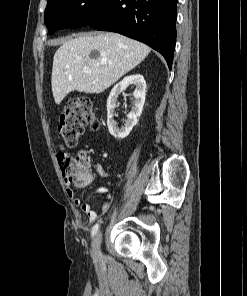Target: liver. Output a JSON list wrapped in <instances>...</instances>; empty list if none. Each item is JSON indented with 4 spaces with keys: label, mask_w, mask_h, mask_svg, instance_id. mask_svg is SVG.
I'll return each mask as SVG.
<instances>
[{
    "label": "liver",
    "mask_w": 247,
    "mask_h": 296,
    "mask_svg": "<svg viewBox=\"0 0 247 296\" xmlns=\"http://www.w3.org/2000/svg\"><path fill=\"white\" fill-rule=\"evenodd\" d=\"M98 51L97 58L91 57ZM150 48L118 33L84 34L70 38L53 59L52 93L59 105L72 91L98 94L143 61ZM91 69L86 73L84 69Z\"/></svg>",
    "instance_id": "liver-1"
}]
</instances>
